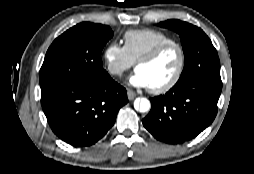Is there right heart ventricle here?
I'll list each match as a JSON object with an SVG mask.
<instances>
[{"label":"right heart ventricle","mask_w":254,"mask_h":174,"mask_svg":"<svg viewBox=\"0 0 254 174\" xmlns=\"http://www.w3.org/2000/svg\"><path fill=\"white\" fill-rule=\"evenodd\" d=\"M174 41L169 34L156 29H135L124 34V47L133 60L137 62L155 47Z\"/></svg>","instance_id":"1"}]
</instances>
